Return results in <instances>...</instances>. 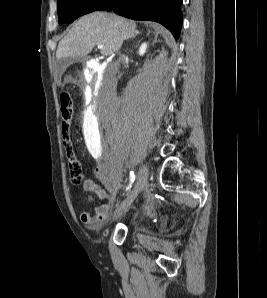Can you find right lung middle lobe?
<instances>
[{
    "mask_svg": "<svg viewBox=\"0 0 267 298\" xmlns=\"http://www.w3.org/2000/svg\"><path fill=\"white\" fill-rule=\"evenodd\" d=\"M103 1L105 0H58L59 23H71L78 17L95 11Z\"/></svg>",
    "mask_w": 267,
    "mask_h": 298,
    "instance_id": "dd1d6c3e",
    "label": "right lung middle lobe"
}]
</instances>
